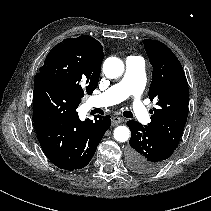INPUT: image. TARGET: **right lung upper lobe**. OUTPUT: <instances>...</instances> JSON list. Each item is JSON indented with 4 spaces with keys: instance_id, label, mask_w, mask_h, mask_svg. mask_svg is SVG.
<instances>
[{
    "instance_id": "right-lung-upper-lobe-1",
    "label": "right lung upper lobe",
    "mask_w": 211,
    "mask_h": 211,
    "mask_svg": "<svg viewBox=\"0 0 211 211\" xmlns=\"http://www.w3.org/2000/svg\"><path fill=\"white\" fill-rule=\"evenodd\" d=\"M65 40L72 46L79 58L87 64L89 70L94 75L100 76L101 63L104 59L100 42L88 35Z\"/></svg>"
}]
</instances>
